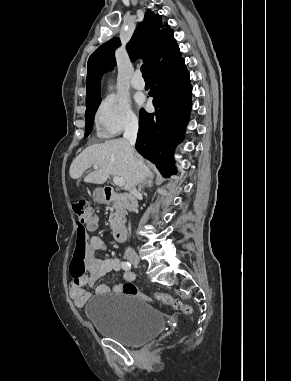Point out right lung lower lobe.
Segmentation results:
<instances>
[{
    "mask_svg": "<svg viewBox=\"0 0 291 381\" xmlns=\"http://www.w3.org/2000/svg\"><path fill=\"white\" fill-rule=\"evenodd\" d=\"M155 113L140 111L136 150L150 160L164 177L176 173L174 146L179 143L189 119L191 92L189 72L178 50L151 72Z\"/></svg>",
    "mask_w": 291,
    "mask_h": 381,
    "instance_id": "obj_1",
    "label": "right lung lower lobe"
}]
</instances>
